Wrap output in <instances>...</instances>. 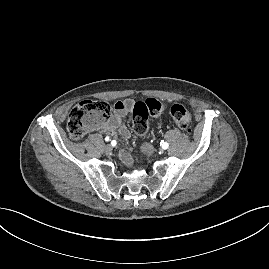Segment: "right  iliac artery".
Here are the masks:
<instances>
[{"mask_svg":"<svg viewBox=\"0 0 269 269\" xmlns=\"http://www.w3.org/2000/svg\"><path fill=\"white\" fill-rule=\"evenodd\" d=\"M105 141H107V142L110 141V137L107 136V137L105 138Z\"/></svg>","mask_w":269,"mask_h":269,"instance_id":"1","label":"right iliac artery"}]
</instances>
